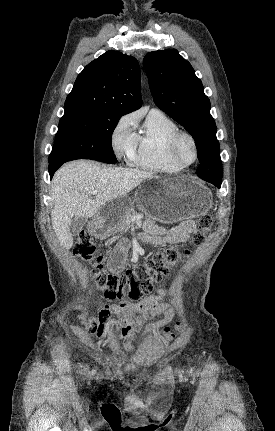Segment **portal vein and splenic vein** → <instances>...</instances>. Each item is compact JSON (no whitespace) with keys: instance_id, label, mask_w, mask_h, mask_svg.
<instances>
[{"instance_id":"18ae733b","label":"portal vein and splenic vein","mask_w":275,"mask_h":431,"mask_svg":"<svg viewBox=\"0 0 275 431\" xmlns=\"http://www.w3.org/2000/svg\"><path fill=\"white\" fill-rule=\"evenodd\" d=\"M97 193H98L97 190H94V191L91 192L92 195H97ZM142 218H143L142 214H135V215L132 216V220L142 219Z\"/></svg>"}]
</instances>
